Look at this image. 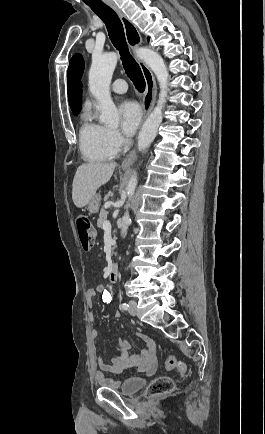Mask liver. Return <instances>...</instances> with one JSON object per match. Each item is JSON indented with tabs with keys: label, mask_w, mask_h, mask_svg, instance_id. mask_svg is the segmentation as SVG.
<instances>
[{
	"label": "liver",
	"mask_w": 265,
	"mask_h": 434,
	"mask_svg": "<svg viewBox=\"0 0 265 434\" xmlns=\"http://www.w3.org/2000/svg\"><path fill=\"white\" fill-rule=\"evenodd\" d=\"M116 166L115 162H89L77 168L72 184V200L77 208H84L89 204L98 188L109 182Z\"/></svg>",
	"instance_id": "6515ba94"
}]
</instances>
